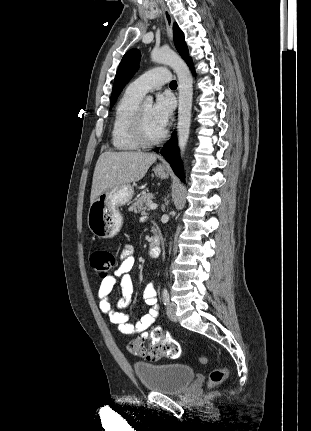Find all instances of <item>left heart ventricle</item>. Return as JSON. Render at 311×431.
I'll list each match as a JSON object with an SVG mask.
<instances>
[{
  "mask_svg": "<svg viewBox=\"0 0 311 431\" xmlns=\"http://www.w3.org/2000/svg\"><path fill=\"white\" fill-rule=\"evenodd\" d=\"M147 137L157 139L163 133V130L155 123L152 116L151 106H142Z\"/></svg>",
  "mask_w": 311,
  "mask_h": 431,
  "instance_id": "1",
  "label": "left heart ventricle"
}]
</instances>
